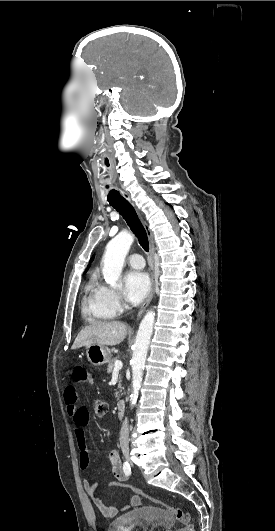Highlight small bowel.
<instances>
[{
    "label": "small bowel",
    "mask_w": 275,
    "mask_h": 531,
    "mask_svg": "<svg viewBox=\"0 0 275 531\" xmlns=\"http://www.w3.org/2000/svg\"><path fill=\"white\" fill-rule=\"evenodd\" d=\"M73 370V367H70ZM74 376L80 377L82 382L91 384L94 382L95 377L93 374L88 373L85 368H77L72 371ZM77 379L76 377L74 378ZM64 400L66 403V409L69 416L72 418L75 424L74 434L80 449L79 465L81 469H87L91 464L92 451L87 446L85 428L89 423V413L85 407H80L77 404V393L73 387H68L64 391ZM109 463L112 468V474L116 479H129L128 474L123 466L121 456L118 451H111L109 454ZM83 486L91 496L93 505L99 510L104 518H113L119 513L125 512L131 508L141 506V498L137 495L131 497L129 503L120 507L109 506L95 493V484L88 479L83 480Z\"/></svg>",
    "instance_id": "small-bowel-1"
}]
</instances>
